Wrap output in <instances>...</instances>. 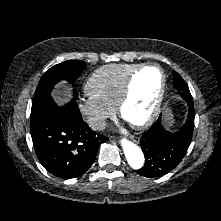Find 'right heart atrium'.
Here are the masks:
<instances>
[{"mask_svg":"<svg viewBox=\"0 0 221 221\" xmlns=\"http://www.w3.org/2000/svg\"><path fill=\"white\" fill-rule=\"evenodd\" d=\"M78 109L88 125L94 130H102L106 121L114 114V109L87 97L78 103Z\"/></svg>","mask_w":221,"mask_h":221,"instance_id":"d8ad5b80","label":"right heart atrium"}]
</instances>
